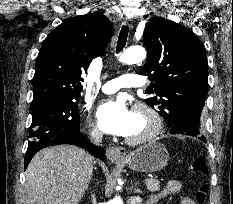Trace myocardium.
I'll return each mask as SVG.
<instances>
[{
    "label": "myocardium",
    "instance_id": "f54148a6",
    "mask_svg": "<svg viewBox=\"0 0 233 204\" xmlns=\"http://www.w3.org/2000/svg\"><path fill=\"white\" fill-rule=\"evenodd\" d=\"M132 111L144 114L150 122V128L140 136L125 137V142L130 145H139L154 139L162 129V119L158 112L144 102L135 103L132 107Z\"/></svg>",
    "mask_w": 233,
    "mask_h": 204
}]
</instances>
